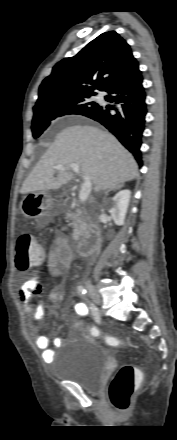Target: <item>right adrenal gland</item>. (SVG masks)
<instances>
[{
    "label": "right adrenal gland",
    "mask_w": 177,
    "mask_h": 440,
    "mask_svg": "<svg viewBox=\"0 0 177 440\" xmlns=\"http://www.w3.org/2000/svg\"><path fill=\"white\" fill-rule=\"evenodd\" d=\"M123 186H124V184L122 183V184H119V185H117V186H115V187H112L111 189L107 190V191L105 192V197L108 196V193H109L110 191L120 190Z\"/></svg>",
    "instance_id": "right-adrenal-gland-1"
}]
</instances>
